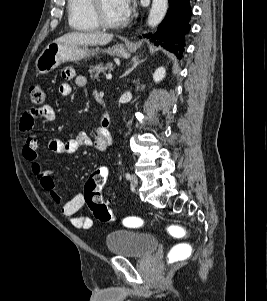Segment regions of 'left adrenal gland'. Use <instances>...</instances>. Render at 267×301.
<instances>
[{
    "instance_id": "left-adrenal-gland-1",
    "label": "left adrenal gland",
    "mask_w": 267,
    "mask_h": 301,
    "mask_svg": "<svg viewBox=\"0 0 267 301\" xmlns=\"http://www.w3.org/2000/svg\"><path fill=\"white\" fill-rule=\"evenodd\" d=\"M142 62H144V60L140 61L138 57H134L131 60V64H132L131 68H129L127 71H125V73L121 77H126L127 75H129Z\"/></svg>"
}]
</instances>
